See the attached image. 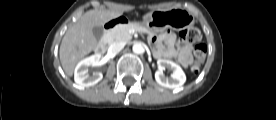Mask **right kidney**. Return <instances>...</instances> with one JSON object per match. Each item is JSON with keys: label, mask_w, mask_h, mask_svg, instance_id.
I'll use <instances>...</instances> for the list:
<instances>
[{"label": "right kidney", "mask_w": 276, "mask_h": 120, "mask_svg": "<svg viewBox=\"0 0 276 120\" xmlns=\"http://www.w3.org/2000/svg\"><path fill=\"white\" fill-rule=\"evenodd\" d=\"M100 57L99 54H95L83 59L77 64L74 71V80L77 85L84 88L93 86L102 80L103 75L101 72H96L92 75L88 73L90 67L99 63Z\"/></svg>", "instance_id": "ca27d5eb"}]
</instances>
